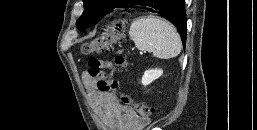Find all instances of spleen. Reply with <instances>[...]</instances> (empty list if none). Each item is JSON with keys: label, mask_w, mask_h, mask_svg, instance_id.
<instances>
[{"label": "spleen", "mask_w": 257, "mask_h": 130, "mask_svg": "<svg viewBox=\"0 0 257 130\" xmlns=\"http://www.w3.org/2000/svg\"><path fill=\"white\" fill-rule=\"evenodd\" d=\"M129 35L136 48L152 52L156 58L170 59L181 52V38L176 29L168 21L152 15L135 19Z\"/></svg>", "instance_id": "3e777b00"}]
</instances>
